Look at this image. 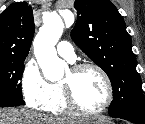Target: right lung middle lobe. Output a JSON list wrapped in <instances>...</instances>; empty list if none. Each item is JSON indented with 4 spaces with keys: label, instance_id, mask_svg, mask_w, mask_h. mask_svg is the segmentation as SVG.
Returning <instances> with one entry per match:
<instances>
[{
    "label": "right lung middle lobe",
    "instance_id": "obj_1",
    "mask_svg": "<svg viewBox=\"0 0 145 124\" xmlns=\"http://www.w3.org/2000/svg\"><path fill=\"white\" fill-rule=\"evenodd\" d=\"M25 59H0V99L22 98L21 83Z\"/></svg>",
    "mask_w": 145,
    "mask_h": 124
}]
</instances>
